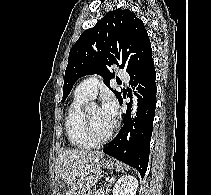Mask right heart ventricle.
<instances>
[{
	"label": "right heart ventricle",
	"instance_id": "obj_1",
	"mask_svg": "<svg viewBox=\"0 0 211 195\" xmlns=\"http://www.w3.org/2000/svg\"><path fill=\"white\" fill-rule=\"evenodd\" d=\"M88 100L87 97L75 92L65 117V130L68 139L78 149H89L94 146L86 136L83 122L84 105Z\"/></svg>",
	"mask_w": 211,
	"mask_h": 195
}]
</instances>
